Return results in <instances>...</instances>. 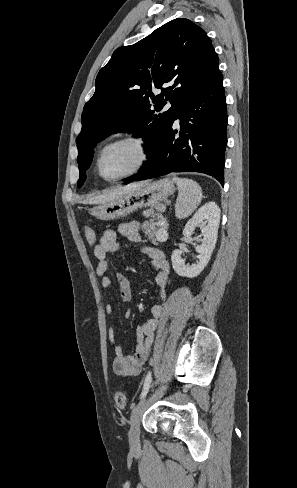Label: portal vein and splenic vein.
<instances>
[{
	"label": "portal vein and splenic vein",
	"mask_w": 297,
	"mask_h": 488,
	"mask_svg": "<svg viewBox=\"0 0 297 488\" xmlns=\"http://www.w3.org/2000/svg\"><path fill=\"white\" fill-rule=\"evenodd\" d=\"M166 222V219L163 220V224ZM162 232H164V229H160L158 230L157 234H161Z\"/></svg>",
	"instance_id": "18ae733b"
}]
</instances>
